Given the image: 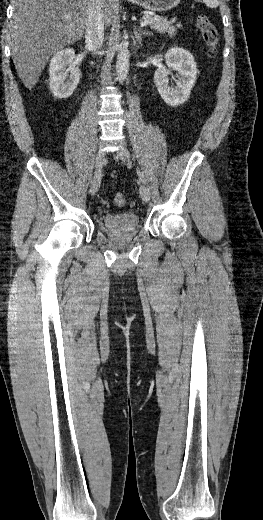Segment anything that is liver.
<instances>
[{"mask_svg": "<svg viewBox=\"0 0 263 520\" xmlns=\"http://www.w3.org/2000/svg\"><path fill=\"white\" fill-rule=\"evenodd\" d=\"M88 5L89 0H13L12 57L28 89L38 82L52 54L82 37ZM102 11L109 26L118 13V0H102Z\"/></svg>", "mask_w": 263, "mask_h": 520, "instance_id": "1", "label": "liver"}]
</instances>
